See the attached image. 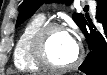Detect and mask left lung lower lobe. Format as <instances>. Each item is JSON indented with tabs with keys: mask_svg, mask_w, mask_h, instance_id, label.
Listing matches in <instances>:
<instances>
[{
	"mask_svg": "<svg viewBox=\"0 0 107 75\" xmlns=\"http://www.w3.org/2000/svg\"><path fill=\"white\" fill-rule=\"evenodd\" d=\"M97 3V19L103 23L106 38H99L90 21L81 28L89 48L93 50L79 67L87 75H107V0H97Z\"/></svg>",
	"mask_w": 107,
	"mask_h": 75,
	"instance_id": "left-lung-lower-lobe-1",
	"label": "left lung lower lobe"
}]
</instances>
